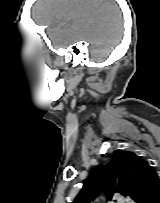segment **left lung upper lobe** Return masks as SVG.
<instances>
[{
  "instance_id": "obj_1",
  "label": "left lung upper lobe",
  "mask_w": 160,
  "mask_h": 203,
  "mask_svg": "<svg viewBox=\"0 0 160 203\" xmlns=\"http://www.w3.org/2000/svg\"><path fill=\"white\" fill-rule=\"evenodd\" d=\"M160 180L152 166L137 154L116 150L111 161L98 166L72 203H89L98 191L108 195L116 192L130 196L137 203H149Z\"/></svg>"
}]
</instances>
